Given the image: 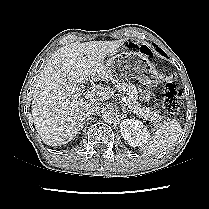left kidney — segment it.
Listing matches in <instances>:
<instances>
[{
	"label": "left kidney",
	"mask_w": 209,
	"mask_h": 209,
	"mask_svg": "<svg viewBox=\"0 0 209 209\" xmlns=\"http://www.w3.org/2000/svg\"><path fill=\"white\" fill-rule=\"evenodd\" d=\"M120 131L129 145L132 147H142L147 140V131L143 123L135 119H124L120 124Z\"/></svg>",
	"instance_id": "obj_1"
}]
</instances>
